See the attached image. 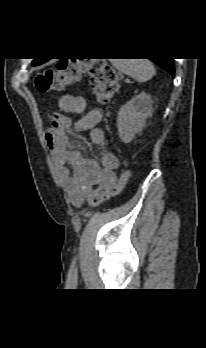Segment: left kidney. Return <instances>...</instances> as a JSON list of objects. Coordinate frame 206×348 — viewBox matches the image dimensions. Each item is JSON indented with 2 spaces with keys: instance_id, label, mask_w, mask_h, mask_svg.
<instances>
[{
  "instance_id": "left-kidney-1",
  "label": "left kidney",
  "mask_w": 206,
  "mask_h": 348,
  "mask_svg": "<svg viewBox=\"0 0 206 348\" xmlns=\"http://www.w3.org/2000/svg\"><path fill=\"white\" fill-rule=\"evenodd\" d=\"M152 105L151 95L142 92L120 108L117 127L119 137L124 143L132 141L135 135L143 130L146 118L151 113Z\"/></svg>"
}]
</instances>
